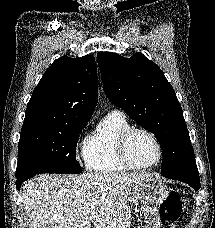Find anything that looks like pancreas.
<instances>
[{
	"label": "pancreas",
	"mask_w": 215,
	"mask_h": 228,
	"mask_svg": "<svg viewBox=\"0 0 215 228\" xmlns=\"http://www.w3.org/2000/svg\"><path fill=\"white\" fill-rule=\"evenodd\" d=\"M135 222H141V220H135ZM135 228H137V226H135Z\"/></svg>",
	"instance_id": "cf45deb5"
}]
</instances>
